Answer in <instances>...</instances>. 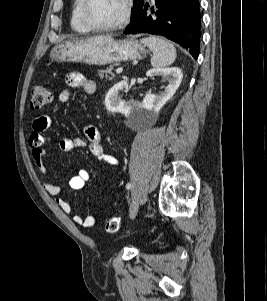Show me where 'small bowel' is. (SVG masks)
I'll use <instances>...</instances> for the list:
<instances>
[{
    "mask_svg": "<svg viewBox=\"0 0 267 301\" xmlns=\"http://www.w3.org/2000/svg\"><path fill=\"white\" fill-rule=\"evenodd\" d=\"M68 85L72 88L80 89L85 94L91 95L96 90L95 83L79 73H70L66 76ZM71 93L69 89H64L58 96V103H66L70 99ZM52 123V115L50 113L43 114L37 117L32 125V132L29 137V146L31 148L32 158L34 163L41 174L47 172V168L44 163L45 150L44 145L50 141V138L45 136L44 132L48 130ZM84 133L86 139L83 138H60L58 142L59 149L63 152H69L74 148H87L90 153L100 160L111 165H118V160L111 154L106 153L101 142V133L99 129L93 125H87L84 127ZM90 179V174L87 170L80 169L69 180V187L73 190L82 189ZM43 187L48 194L56 197V203L59 208L66 214L71 213V205L66 200L59 198L61 188L58 184L44 181ZM73 221L76 224L83 227L90 228L95 224V218L92 215L82 217L79 214H74Z\"/></svg>",
    "mask_w": 267,
    "mask_h": 301,
    "instance_id": "1",
    "label": "small bowel"
}]
</instances>
